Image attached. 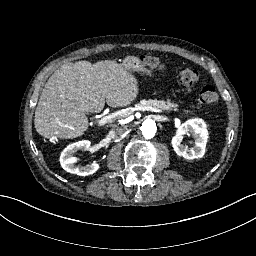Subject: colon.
<instances>
[{
	"label": "colon",
	"instance_id": "obj_1",
	"mask_svg": "<svg viewBox=\"0 0 256 256\" xmlns=\"http://www.w3.org/2000/svg\"><path fill=\"white\" fill-rule=\"evenodd\" d=\"M138 60L152 65L156 70L162 67L158 59L152 56L141 55L138 56ZM179 78L181 85L185 89L191 90L193 85L197 82L199 74L194 68L185 66L180 68ZM196 96L199 103L205 106L212 105L218 101V95L215 88L208 84L201 86L197 90Z\"/></svg>",
	"mask_w": 256,
	"mask_h": 256
}]
</instances>
